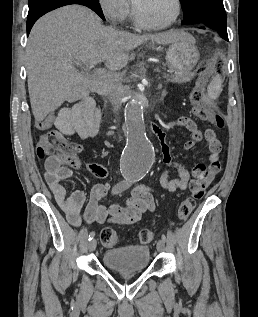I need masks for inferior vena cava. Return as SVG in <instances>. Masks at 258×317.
I'll use <instances>...</instances> for the list:
<instances>
[{
  "label": "inferior vena cava",
  "instance_id": "inferior-vena-cava-1",
  "mask_svg": "<svg viewBox=\"0 0 258 317\" xmlns=\"http://www.w3.org/2000/svg\"><path fill=\"white\" fill-rule=\"evenodd\" d=\"M109 80H110V82H109L110 88H108L106 94H108V98H113V96H114V86H112L113 80H112V78H109ZM118 108H119V106H114V108H113L114 112H117Z\"/></svg>",
  "mask_w": 258,
  "mask_h": 317
}]
</instances>
